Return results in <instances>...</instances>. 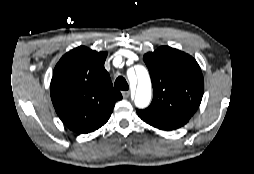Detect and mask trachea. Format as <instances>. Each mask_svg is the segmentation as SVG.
I'll list each match as a JSON object with an SVG mask.
<instances>
[{"mask_svg": "<svg viewBox=\"0 0 254 174\" xmlns=\"http://www.w3.org/2000/svg\"><path fill=\"white\" fill-rule=\"evenodd\" d=\"M115 88L120 90H128L129 86L125 78L119 76L114 83Z\"/></svg>", "mask_w": 254, "mask_h": 174, "instance_id": "trachea-1", "label": "trachea"}]
</instances>
